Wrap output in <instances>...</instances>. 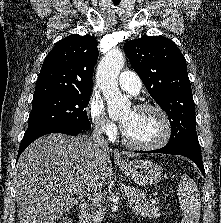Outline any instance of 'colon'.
Listing matches in <instances>:
<instances>
[{"label":"colon","instance_id":"1","mask_svg":"<svg viewBox=\"0 0 221 223\" xmlns=\"http://www.w3.org/2000/svg\"><path fill=\"white\" fill-rule=\"evenodd\" d=\"M57 223H72V221L70 219L65 218V219L59 220Z\"/></svg>","mask_w":221,"mask_h":223}]
</instances>
